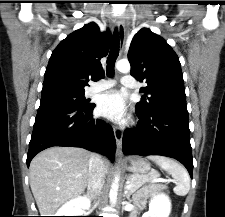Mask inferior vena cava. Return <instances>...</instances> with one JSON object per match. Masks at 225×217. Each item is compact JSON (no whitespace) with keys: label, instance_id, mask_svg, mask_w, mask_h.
I'll list each match as a JSON object with an SVG mask.
<instances>
[{"label":"inferior vena cava","instance_id":"obj_1","mask_svg":"<svg viewBox=\"0 0 225 217\" xmlns=\"http://www.w3.org/2000/svg\"><path fill=\"white\" fill-rule=\"evenodd\" d=\"M104 161L99 154H92L89 160L88 195L96 198L100 195L104 184Z\"/></svg>","mask_w":225,"mask_h":217}]
</instances>
